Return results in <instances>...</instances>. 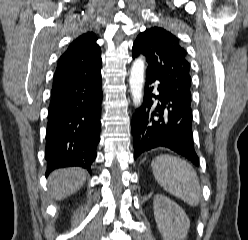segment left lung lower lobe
Returning a JSON list of instances; mask_svg holds the SVG:
<instances>
[{
	"label": "left lung lower lobe",
	"instance_id": "1",
	"mask_svg": "<svg viewBox=\"0 0 248 240\" xmlns=\"http://www.w3.org/2000/svg\"><path fill=\"white\" fill-rule=\"evenodd\" d=\"M156 80L147 74L143 103L132 118L134 158L153 148L166 147L199 165L194 149L190 100L180 97L161 82L157 87L159 94L154 95Z\"/></svg>",
	"mask_w": 248,
	"mask_h": 240
}]
</instances>
